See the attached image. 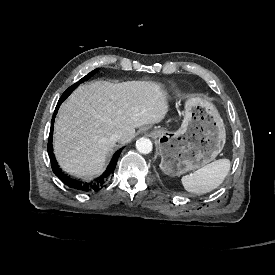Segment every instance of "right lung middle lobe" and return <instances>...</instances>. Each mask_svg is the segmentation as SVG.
<instances>
[{"instance_id":"1","label":"right lung middle lobe","mask_w":275,"mask_h":275,"mask_svg":"<svg viewBox=\"0 0 275 275\" xmlns=\"http://www.w3.org/2000/svg\"><path fill=\"white\" fill-rule=\"evenodd\" d=\"M98 71V69L93 70L92 72H90L89 74H87L86 76H84L82 79H80L77 83L73 84L72 86H70L62 95V97L67 98L72 91L82 82L88 80L89 78H91L96 72Z\"/></svg>"}]
</instances>
